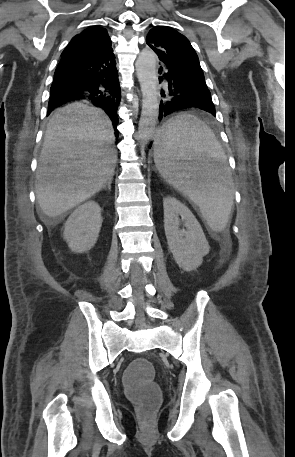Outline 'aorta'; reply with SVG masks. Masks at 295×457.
<instances>
[{"instance_id": "1", "label": "aorta", "mask_w": 295, "mask_h": 457, "mask_svg": "<svg viewBox=\"0 0 295 457\" xmlns=\"http://www.w3.org/2000/svg\"><path fill=\"white\" fill-rule=\"evenodd\" d=\"M156 55L149 49L139 54L135 67L142 92V111L139 121L138 137L147 143L155 134L159 116L158 78Z\"/></svg>"}]
</instances>
